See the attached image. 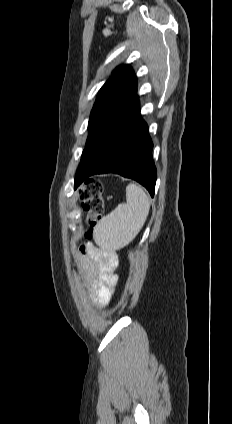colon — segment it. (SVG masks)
Here are the masks:
<instances>
[{
  "instance_id": "colon-1",
  "label": "colon",
  "mask_w": 232,
  "mask_h": 424,
  "mask_svg": "<svg viewBox=\"0 0 232 424\" xmlns=\"http://www.w3.org/2000/svg\"><path fill=\"white\" fill-rule=\"evenodd\" d=\"M77 198L86 213L89 230L87 237L91 236L92 229L96 226L104 212L103 185L98 180H89L77 193Z\"/></svg>"
}]
</instances>
